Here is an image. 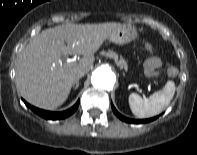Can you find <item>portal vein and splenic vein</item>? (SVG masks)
<instances>
[{
  "mask_svg": "<svg viewBox=\"0 0 197 155\" xmlns=\"http://www.w3.org/2000/svg\"><path fill=\"white\" fill-rule=\"evenodd\" d=\"M74 64H75V62H74L73 60H69V61L66 63L67 66H72V65H74Z\"/></svg>",
  "mask_w": 197,
  "mask_h": 155,
  "instance_id": "18ae733b",
  "label": "portal vein and splenic vein"
}]
</instances>
